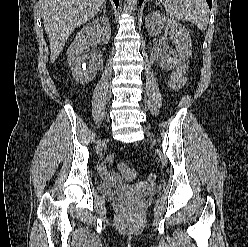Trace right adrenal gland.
Listing matches in <instances>:
<instances>
[{
	"instance_id": "1",
	"label": "right adrenal gland",
	"mask_w": 248,
	"mask_h": 247,
	"mask_svg": "<svg viewBox=\"0 0 248 247\" xmlns=\"http://www.w3.org/2000/svg\"><path fill=\"white\" fill-rule=\"evenodd\" d=\"M103 11L104 14H106V3L104 2L101 9H100V12Z\"/></svg>"
}]
</instances>
